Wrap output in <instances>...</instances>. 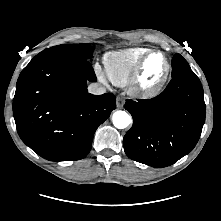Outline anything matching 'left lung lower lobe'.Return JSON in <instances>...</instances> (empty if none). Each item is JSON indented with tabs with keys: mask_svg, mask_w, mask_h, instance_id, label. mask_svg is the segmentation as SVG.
Segmentation results:
<instances>
[{
	"mask_svg": "<svg viewBox=\"0 0 221 221\" xmlns=\"http://www.w3.org/2000/svg\"><path fill=\"white\" fill-rule=\"evenodd\" d=\"M124 107L133 117V126L124 136L125 153L157 168L192 151L206 115L203 88L192 70L172 77L157 97L138 102L129 99Z\"/></svg>",
	"mask_w": 221,
	"mask_h": 221,
	"instance_id": "obj_1",
	"label": "left lung lower lobe"
}]
</instances>
